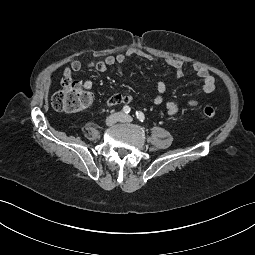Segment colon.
<instances>
[{"label":"colon","mask_w":255,"mask_h":255,"mask_svg":"<svg viewBox=\"0 0 255 255\" xmlns=\"http://www.w3.org/2000/svg\"><path fill=\"white\" fill-rule=\"evenodd\" d=\"M91 105L92 95L71 77H65L61 82V89L52 96L53 108L61 112H81L89 109ZM202 113L211 119L216 117L215 108L209 105L202 108Z\"/></svg>","instance_id":"obj_1"}]
</instances>
